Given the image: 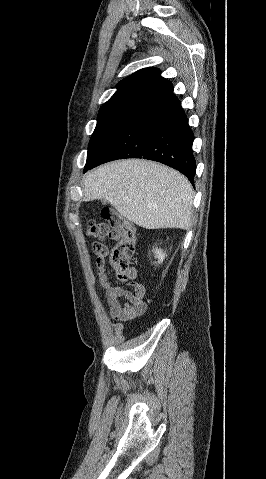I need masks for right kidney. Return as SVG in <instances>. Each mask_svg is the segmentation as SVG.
Masks as SVG:
<instances>
[{
    "instance_id": "ca27d5eb",
    "label": "right kidney",
    "mask_w": 266,
    "mask_h": 479,
    "mask_svg": "<svg viewBox=\"0 0 266 479\" xmlns=\"http://www.w3.org/2000/svg\"><path fill=\"white\" fill-rule=\"evenodd\" d=\"M153 252L155 254V258L158 259L157 263L161 264L163 262V260L165 259L166 253L163 252V250L158 249V248L153 249Z\"/></svg>"
}]
</instances>
